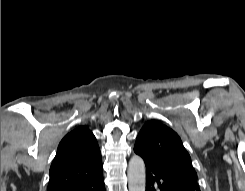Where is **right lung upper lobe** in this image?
Returning <instances> with one entry per match:
<instances>
[{
	"label": "right lung upper lobe",
	"instance_id": "1",
	"mask_svg": "<svg viewBox=\"0 0 245 191\" xmlns=\"http://www.w3.org/2000/svg\"><path fill=\"white\" fill-rule=\"evenodd\" d=\"M103 172L101 152L92 132L79 126L60 142L50 167L47 191H65Z\"/></svg>",
	"mask_w": 245,
	"mask_h": 191
}]
</instances>
